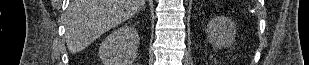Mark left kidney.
<instances>
[{
	"label": "left kidney",
	"instance_id": "left-kidney-1",
	"mask_svg": "<svg viewBox=\"0 0 309 65\" xmlns=\"http://www.w3.org/2000/svg\"><path fill=\"white\" fill-rule=\"evenodd\" d=\"M235 24L226 17L213 18L208 23V39L215 49L231 46L235 39Z\"/></svg>",
	"mask_w": 309,
	"mask_h": 65
}]
</instances>
